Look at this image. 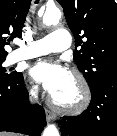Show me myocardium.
Listing matches in <instances>:
<instances>
[{
    "label": "myocardium",
    "instance_id": "f54148a6",
    "mask_svg": "<svg viewBox=\"0 0 117 136\" xmlns=\"http://www.w3.org/2000/svg\"><path fill=\"white\" fill-rule=\"evenodd\" d=\"M70 76L75 82L76 97L72 102H61L55 96L50 97V104L59 111L69 114H79L90 105L92 93L85 76L78 70H72Z\"/></svg>",
    "mask_w": 117,
    "mask_h": 136
}]
</instances>
